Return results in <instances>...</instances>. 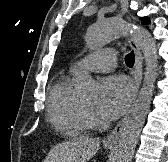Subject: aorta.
I'll return each instance as SVG.
<instances>
[{
  "mask_svg": "<svg viewBox=\"0 0 168 162\" xmlns=\"http://www.w3.org/2000/svg\"><path fill=\"white\" fill-rule=\"evenodd\" d=\"M130 31L134 33L143 52L146 69L138 99L125 123L112 162H131L132 160L139 135L150 109L157 78V47L148 30L142 27H131L127 22L118 18L92 24L87 30L85 39L89 50H97ZM76 90L81 99H93L97 96L98 86L89 74L81 73L76 77Z\"/></svg>",
  "mask_w": 168,
  "mask_h": 162,
  "instance_id": "aorta-1",
  "label": "aorta"
}]
</instances>
